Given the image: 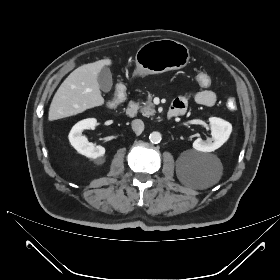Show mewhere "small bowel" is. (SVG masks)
<instances>
[{
  "label": "small bowel",
  "mask_w": 280,
  "mask_h": 280,
  "mask_svg": "<svg viewBox=\"0 0 280 280\" xmlns=\"http://www.w3.org/2000/svg\"><path fill=\"white\" fill-rule=\"evenodd\" d=\"M194 99L198 104L204 105V106H212L216 103L217 96L215 92H213L210 89L204 90V91H197L194 95ZM171 107H174L181 111V114L186 111L187 108V100L184 97H178L174 99L172 102Z\"/></svg>",
  "instance_id": "1"
}]
</instances>
